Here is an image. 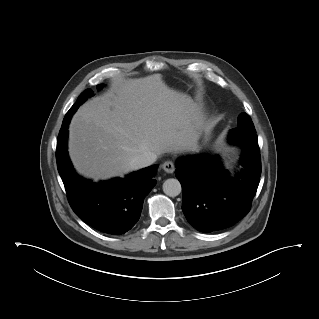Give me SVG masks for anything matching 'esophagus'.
I'll list each match as a JSON object with an SVG mask.
<instances>
[{
    "mask_svg": "<svg viewBox=\"0 0 319 319\" xmlns=\"http://www.w3.org/2000/svg\"><path fill=\"white\" fill-rule=\"evenodd\" d=\"M162 168H163V170H164L166 173L171 174V173H173L174 170H175V164H174V162L168 160V161H166V162L163 163Z\"/></svg>",
    "mask_w": 319,
    "mask_h": 319,
    "instance_id": "1",
    "label": "esophagus"
}]
</instances>
